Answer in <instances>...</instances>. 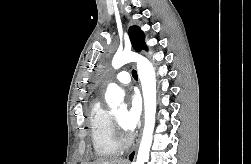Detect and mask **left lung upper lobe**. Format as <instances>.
I'll return each mask as SVG.
<instances>
[{
  "label": "left lung upper lobe",
  "mask_w": 251,
  "mask_h": 164,
  "mask_svg": "<svg viewBox=\"0 0 251 164\" xmlns=\"http://www.w3.org/2000/svg\"><path fill=\"white\" fill-rule=\"evenodd\" d=\"M129 37L135 51L140 52L141 50H147L144 41L145 35L139 27L131 26L129 28Z\"/></svg>",
  "instance_id": "obj_1"
}]
</instances>
